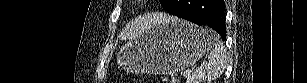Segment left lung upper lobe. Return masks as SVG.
I'll return each instance as SVG.
<instances>
[{
	"label": "left lung upper lobe",
	"instance_id": "1",
	"mask_svg": "<svg viewBox=\"0 0 307 83\" xmlns=\"http://www.w3.org/2000/svg\"><path fill=\"white\" fill-rule=\"evenodd\" d=\"M159 1L162 7L165 9V11H167L173 5L175 0H159Z\"/></svg>",
	"mask_w": 307,
	"mask_h": 83
}]
</instances>
